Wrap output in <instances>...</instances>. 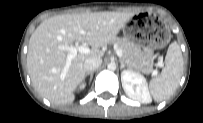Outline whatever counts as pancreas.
<instances>
[{
    "label": "pancreas",
    "instance_id": "cf45deb5",
    "mask_svg": "<svg viewBox=\"0 0 203 123\" xmlns=\"http://www.w3.org/2000/svg\"><path fill=\"white\" fill-rule=\"evenodd\" d=\"M117 48L122 50L121 59L128 65L129 68L149 74L153 71V59L138 46L128 41L125 38H117L114 40Z\"/></svg>",
    "mask_w": 203,
    "mask_h": 123
}]
</instances>
